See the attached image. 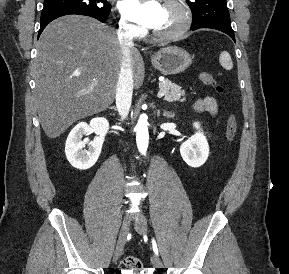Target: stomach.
Returning <instances> with one entry per match:
<instances>
[{"mask_svg": "<svg viewBox=\"0 0 289 274\" xmlns=\"http://www.w3.org/2000/svg\"><path fill=\"white\" fill-rule=\"evenodd\" d=\"M153 66L164 75H175L186 70L192 59L190 54L177 46L160 49L151 58Z\"/></svg>", "mask_w": 289, "mask_h": 274, "instance_id": "1", "label": "stomach"}]
</instances>
